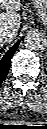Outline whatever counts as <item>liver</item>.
<instances>
[{"label": "liver", "instance_id": "6515ba94", "mask_svg": "<svg viewBox=\"0 0 47 129\" xmlns=\"http://www.w3.org/2000/svg\"><path fill=\"white\" fill-rule=\"evenodd\" d=\"M21 0H0V7L6 12L0 13V31L8 29L15 33L20 28V10ZM11 42V41H10ZM5 42L0 41V46Z\"/></svg>", "mask_w": 47, "mask_h": 129}]
</instances>
